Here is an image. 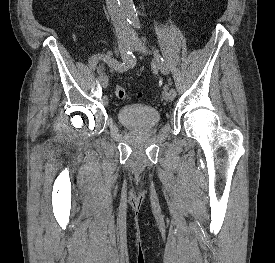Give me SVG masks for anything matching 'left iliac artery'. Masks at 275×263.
I'll return each instance as SVG.
<instances>
[{
  "instance_id": "left-iliac-artery-1",
  "label": "left iliac artery",
  "mask_w": 275,
  "mask_h": 263,
  "mask_svg": "<svg viewBox=\"0 0 275 263\" xmlns=\"http://www.w3.org/2000/svg\"><path fill=\"white\" fill-rule=\"evenodd\" d=\"M153 53H154L153 63L159 64L161 72L163 74H168L169 73L168 65L166 64L164 59L160 56L159 51L156 48H153ZM170 91L176 95L175 89L172 88L170 89Z\"/></svg>"
}]
</instances>
